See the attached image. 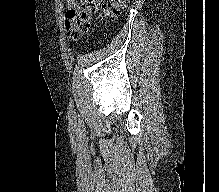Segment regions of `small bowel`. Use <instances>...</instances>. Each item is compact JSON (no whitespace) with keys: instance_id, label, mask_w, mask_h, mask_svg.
<instances>
[{"instance_id":"c3829d8e","label":"small bowel","mask_w":219,"mask_h":192,"mask_svg":"<svg viewBox=\"0 0 219 192\" xmlns=\"http://www.w3.org/2000/svg\"><path fill=\"white\" fill-rule=\"evenodd\" d=\"M68 3L71 4V3H72V0H68Z\"/></svg>"}]
</instances>
